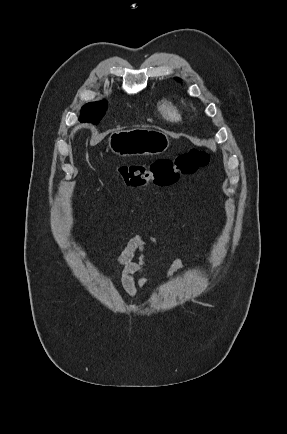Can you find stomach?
Returning <instances> with one entry per match:
<instances>
[{
    "mask_svg": "<svg viewBox=\"0 0 287 434\" xmlns=\"http://www.w3.org/2000/svg\"><path fill=\"white\" fill-rule=\"evenodd\" d=\"M169 145L167 134L152 128L116 130L108 139L110 150L119 156L161 154Z\"/></svg>",
    "mask_w": 287,
    "mask_h": 434,
    "instance_id": "1",
    "label": "stomach"
}]
</instances>
